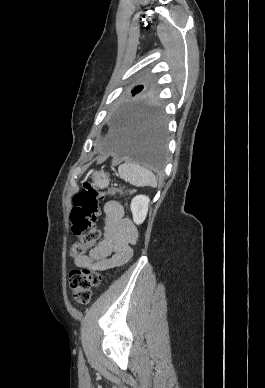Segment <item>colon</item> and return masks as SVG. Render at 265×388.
<instances>
[{
    "mask_svg": "<svg viewBox=\"0 0 265 388\" xmlns=\"http://www.w3.org/2000/svg\"><path fill=\"white\" fill-rule=\"evenodd\" d=\"M119 188L112 187L107 192L100 191L90 183L75 195L74 207L70 214L72 233L79 239L70 248L73 258L84 255L98 240L100 233L96 222L100 214L99 204L106 193H116ZM102 281L101 275L90 269L72 270L69 274L70 288L74 300L79 304H87L91 299L92 288L98 287Z\"/></svg>",
    "mask_w": 265,
    "mask_h": 388,
    "instance_id": "1",
    "label": "colon"
}]
</instances>
